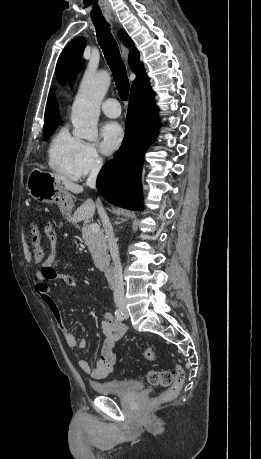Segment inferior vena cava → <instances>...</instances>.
<instances>
[{"label": "inferior vena cava", "mask_w": 261, "mask_h": 459, "mask_svg": "<svg viewBox=\"0 0 261 459\" xmlns=\"http://www.w3.org/2000/svg\"><path fill=\"white\" fill-rule=\"evenodd\" d=\"M101 166H102V162L100 159L96 158L93 160L91 164L90 175L86 182L87 186L91 188L96 187V179L101 169ZM96 206L98 208V213L103 223V227L106 233V239L108 242V246H109V250H110V254H111L112 262H113L114 301L116 304L123 303L125 300L124 283H123V277H122V267H121L120 256H119V248L114 238L112 225L99 199L96 202Z\"/></svg>", "instance_id": "obj_1"}]
</instances>
